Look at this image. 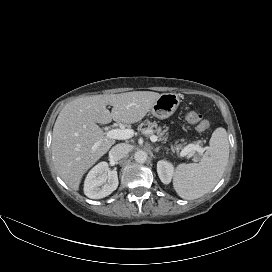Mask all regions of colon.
I'll return each instance as SVG.
<instances>
[{
	"mask_svg": "<svg viewBox=\"0 0 272 272\" xmlns=\"http://www.w3.org/2000/svg\"><path fill=\"white\" fill-rule=\"evenodd\" d=\"M187 121L191 124H195L197 130L200 132H205L209 128V122L204 118L201 113L195 111L188 113Z\"/></svg>",
	"mask_w": 272,
	"mask_h": 272,
	"instance_id": "1",
	"label": "colon"
}]
</instances>
